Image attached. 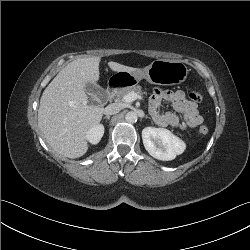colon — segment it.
<instances>
[{
	"mask_svg": "<svg viewBox=\"0 0 250 250\" xmlns=\"http://www.w3.org/2000/svg\"><path fill=\"white\" fill-rule=\"evenodd\" d=\"M189 98L195 103H200L202 101V94L198 90H193L189 93ZM198 133L204 136L208 133V128L206 126H201Z\"/></svg>",
	"mask_w": 250,
	"mask_h": 250,
	"instance_id": "1",
	"label": "colon"
}]
</instances>
